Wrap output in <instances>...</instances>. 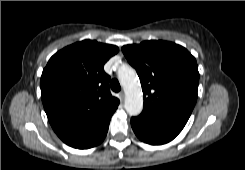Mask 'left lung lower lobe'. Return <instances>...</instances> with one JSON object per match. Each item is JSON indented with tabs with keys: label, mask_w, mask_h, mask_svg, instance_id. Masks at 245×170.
<instances>
[{
	"label": "left lung lower lobe",
	"mask_w": 245,
	"mask_h": 170,
	"mask_svg": "<svg viewBox=\"0 0 245 170\" xmlns=\"http://www.w3.org/2000/svg\"><path fill=\"white\" fill-rule=\"evenodd\" d=\"M131 126L141 141L162 145L173 140L185 124L143 111L139 116L131 118Z\"/></svg>",
	"instance_id": "1"
}]
</instances>
